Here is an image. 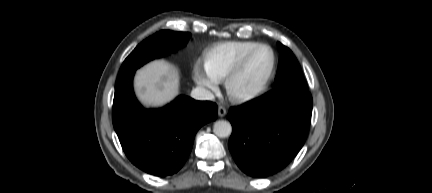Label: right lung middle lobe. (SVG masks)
<instances>
[{
  "label": "right lung middle lobe",
  "instance_id": "dd1d6c3e",
  "mask_svg": "<svg viewBox=\"0 0 432 193\" xmlns=\"http://www.w3.org/2000/svg\"><path fill=\"white\" fill-rule=\"evenodd\" d=\"M190 33L162 30L140 43L123 62L119 76L134 72L148 61L165 56L187 44Z\"/></svg>",
  "mask_w": 432,
  "mask_h": 193
}]
</instances>
